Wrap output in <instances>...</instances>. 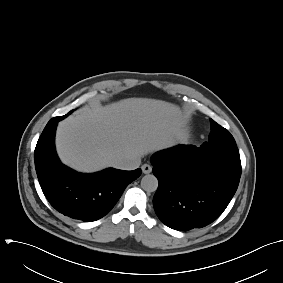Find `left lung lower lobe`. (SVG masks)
<instances>
[{"label": "left lung lower lobe", "instance_id": "obj_1", "mask_svg": "<svg viewBox=\"0 0 283 283\" xmlns=\"http://www.w3.org/2000/svg\"><path fill=\"white\" fill-rule=\"evenodd\" d=\"M151 162L159 186L155 212L168 227L188 231L217 219L234 196L241 176L239 155L219 149L177 145Z\"/></svg>", "mask_w": 283, "mask_h": 283}]
</instances>
